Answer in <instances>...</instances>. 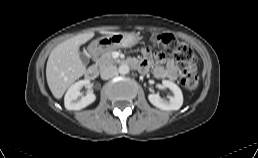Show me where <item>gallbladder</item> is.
<instances>
[{"mask_svg": "<svg viewBox=\"0 0 258 158\" xmlns=\"http://www.w3.org/2000/svg\"><path fill=\"white\" fill-rule=\"evenodd\" d=\"M80 59L83 62V64L87 65L90 61V58L86 52H80Z\"/></svg>", "mask_w": 258, "mask_h": 158, "instance_id": "obj_1", "label": "gallbladder"}]
</instances>
